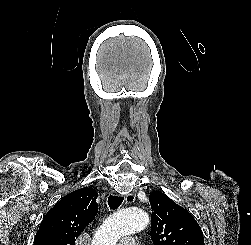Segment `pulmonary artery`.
Here are the masks:
<instances>
[{
    "label": "pulmonary artery",
    "mask_w": 251,
    "mask_h": 245,
    "mask_svg": "<svg viewBox=\"0 0 251 245\" xmlns=\"http://www.w3.org/2000/svg\"><path fill=\"white\" fill-rule=\"evenodd\" d=\"M119 245H136L133 239H124L122 240Z\"/></svg>",
    "instance_id": "1"
}]
</instances>
